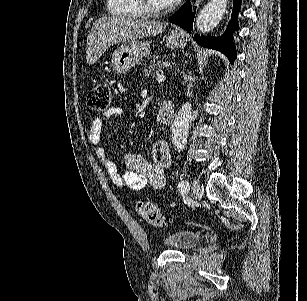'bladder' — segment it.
<instances>
[{
    "mask_svg": "<svg viewBox=\"0 0 307 301\" xmlns=\"http://www.w3.org/2000/svg\"><path fill=\"white\" fill-rule=\"evenodd\" d=\"M200 240L198 233L180 230L166 235L164 243L175 250H190L194 249Z\"/></svg>",
    "mask_w": 307,
    "mask_h": 301,
    "instance_id": "obj_1",
    "label": "bladder"
}]
</instances>
